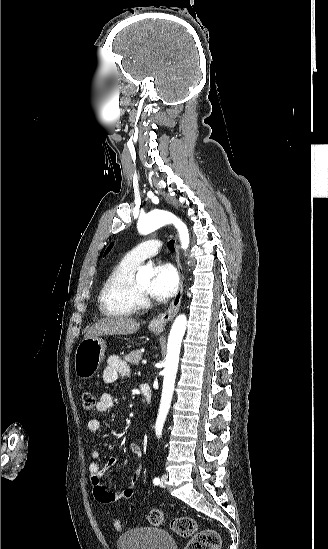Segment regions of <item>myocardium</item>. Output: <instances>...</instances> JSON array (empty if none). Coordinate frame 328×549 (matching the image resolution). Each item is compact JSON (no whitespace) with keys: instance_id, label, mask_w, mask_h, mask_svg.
Instances as JSON below:
<instances>
[{"instance_id":"f54148a6","label":"myocardium","mask_w":328,"mask_h":549,"mask_svg":"<svg viewBox=\"0 0 328 549\" xmlns=\"http://www.w3.org/2000/svg\"><path fill=\"white\" fill-rule=\"evenodd\" d=\"M153 264L150 262L140 263L137 269H143L151 267ZM136 269V270H137ZM138 270V271H139ZM127 295L134 302V304L126 305V308L135 311H140L147 308L150 305L149 296L143 294L137 287L135 282V276L132 275L127 284Z\"/></svg>"}]
</instances>
